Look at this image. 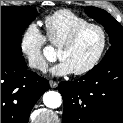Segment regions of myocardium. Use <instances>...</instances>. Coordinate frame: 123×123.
I'll return each instance as SVG.
<instances>
[{
    "instance_id": "f54148a6",
    "label": "myocardium",
    "mask_w": 123,
    "mask_h": 123,
    "mask_svg": "<svg viewBox=\"0 0 123 123\" xmlns=\"http://www.w3.org/2000/svg\"><path fill=\"white\" fill-rule=\"evenodd\" d=\"M89 29H97L102 37V43H101V47L97 53V55L95 56V58L91 61V63H89L86 67L73 71V73L75 75H84L89 73L90 71H92L102 60L106 48H107V44H108V34L105 30V28L100 25V24H96V23H88L84 26L79 27L78 29H76L59 47H58V51H61L63 49H68L70 47H72L77 40L79 39V37L86 32Z\"/></svg>"
}]
</instances>
